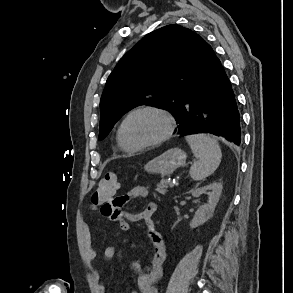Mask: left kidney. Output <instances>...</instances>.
<instances>
[{"instance_id": "obj_1", "label": "left kidney", "mask_w": 293, "mask_h": 293, "mask_svg": "<svg viewBox=\"0 0 293 293\" xmlns=\"http://www.w3.org/2000/svg\"><path fill=\"white\" fill-rule=\"evenodd\" d=\"M206 192H210L211 196L208 202L200 206L199 209L195 212V215L190 222L191 228H196L204 224L213 216V212L222 192V184L220 182H213L206 186L197 188L192 192V196L195 198H199L202 194Z\"/></svg>"}]
</instances>
